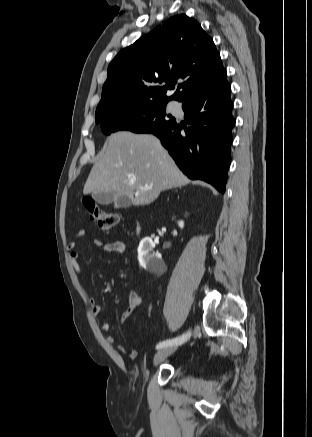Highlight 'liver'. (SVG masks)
Returning a JSON list of instances; mask_svg holds the SVG:
<instances>
[{
  "label": "liver",
  "instance_id": "liver-1",
  "mask_svg": "<svg viewBox=\"0 0 312 437\" xmlns=\"http://www.w3.org/2000/svg\"><path fill=\"white\" fill-rule=\"evenodd\" d=\"M189 182L158 138L123 131L108 137L105 155L93 165L83 193L112 192L115 202L125 197L140 206ZM145 186L152 188L141 189Z\"/></svg>",
  "mask_w": 312,
  "mask_h": 437
}]
</instances>
